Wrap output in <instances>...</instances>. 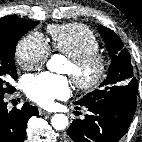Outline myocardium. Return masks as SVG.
Returning a JSON list of instances; mask_svg holds the SVG:
<instances>
[{"label": "myocardium", "mask_w": 142, "mask_h": 142, "mask_svg": "<svg viewBox=\"0 0 142 142\" xmlns=\"http://www.w3.org/2000/svg\"><path fill=\"white\" fill-rule=\"evenodd\" d=\"M72 66L70 73L75 85L82 90H92L105 79L108 71V61L99 51L70 58Z\"/></svg>", "instance_id": "1"}]
</instances>
